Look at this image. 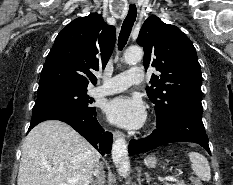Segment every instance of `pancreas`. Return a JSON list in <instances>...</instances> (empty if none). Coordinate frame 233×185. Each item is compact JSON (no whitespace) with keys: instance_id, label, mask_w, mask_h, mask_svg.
Instances as JSON below:
<instances>
[{"instance_id":"1","label":"pancreas","mask_w":233,"mask_h":185,"mask_svg":"<svg viewBox=\"0 0 233 185\" xmlns=\"http://www.w3.org/2000/svg\"><path fill=\"white\" fill-rule=\"evenodd\" d=\"M174 182L175 184H169V185H186L183 180L175 179Z\"/></svg>"}]
</instances>
